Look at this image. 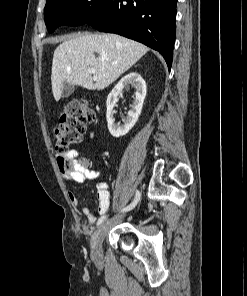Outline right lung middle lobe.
Returning <instances> with one entry per match:
<instances>
[{"mask_svg": "<svg viewBox=\"0 0 247 296\" xmlns=\"http://www.w3.org/2000/svg\"><path fill=\"white\" fill-rule=\"evenodd\" d=\"M107 0H47L44 9L48 32L58 26H77L88 23L94 16L103 12Z\"/></svg>", "mask_w": 247, "mask_h": 296, "instance_id": "right-lung-middle-lobe-1", "label": "right lung middle lobe"}]
</instances>
